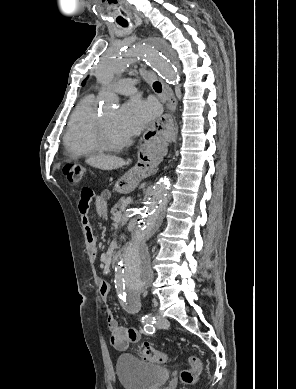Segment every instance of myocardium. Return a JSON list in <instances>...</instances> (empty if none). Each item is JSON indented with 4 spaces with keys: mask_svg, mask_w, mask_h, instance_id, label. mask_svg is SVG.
Returning <instances> with one entry per match:
<instances>
[{
    "mask_svg": "<svg viewBox=\"0 0 296 389\" xmlns=\"http://www.w3.org/2000/svg\"><path fill=\"white\" fill-rule=\"evenodd\" d=\"M96 137L98 140V143L101 147L102 150L105 151H116L124 148L127 146L130 142L128 138H125L120 141H112L109 139L107 132H106V127H105V122L102 118V116H99L97 119L96 123Z\"/></svg>",
    "mask_w": 296,
    "mask_h": 389,
    "instance_id": "1",
    "label": "myocardium"
}]
</instances>
